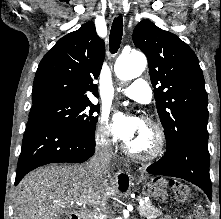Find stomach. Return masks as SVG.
Segmentation results:
<instances>
[{
	"instance_id": "1",
	"label": "stomach",
	"mask_w": 221,
	"mask_h": 219,
	"mask_svg": "<svg viewBox=\"0 0 221 219\" xmlns=\"http://www.w3.org/2000/svg\"><path fill=\"white\" fill-rule=\"evenodd\" d=\"M175 178H150V182L145 184L147 195L152 199H173V194H167L166 191H171V186L167 183H175Z\"/></svg>"
}]
</instances>
